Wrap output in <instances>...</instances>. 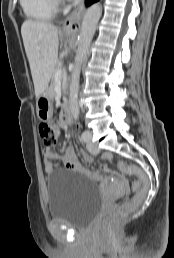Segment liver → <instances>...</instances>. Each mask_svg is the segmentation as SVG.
Wrapping results in <instances>:
<instances>
[{
  "mask_svg": "<svg viewBox=\"0 0 174 258\" xmlns=\"http://www.w3.org/2000/svg\"><path fill=\"white\" fill-rule=\"evenodd\" d=\"M21 34L38 99L48 89L57 64L58 28L50 23L26 20Z\"/></svg>",
  "mask_w": 174,
  "mask_h": 258,
  "instance_id": "liver-1",
  "label": "liver"
}]
</instances>
